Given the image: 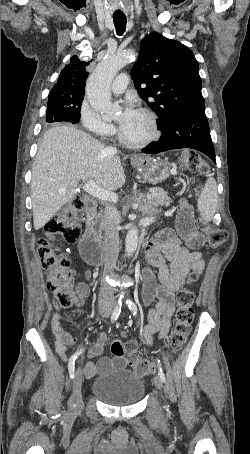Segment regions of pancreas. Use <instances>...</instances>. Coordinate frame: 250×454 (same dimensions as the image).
Returning a JSON list of instances; mask_svg holds the SVG:
<instances>
[{"label": "pancreas", "instance_id": "obj_1", "mask_svg": "<svg viewBox=\"0 0 250 454\" xmlns=\"http://www.w3.org/2000/svg\"><path fill=\"white\" fill-rule=\"evenodd\" d=\"M152 197V202H150L153 206H169L170 205V198L166 192L162 189L157 188L152 191L149 195ZM94 225H98V232L99 236H101V231L103 230V219L101 215H97L93 221Z\"/></svg>", "mask_w": 250, "mask_h": 454}]
</instances>
